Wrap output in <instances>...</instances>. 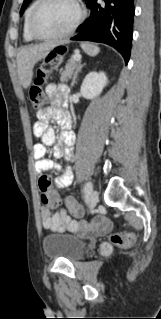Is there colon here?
Wrapping results in <instances>:
<instances>
[{"label": "colon", "mask_w": 161, "mask_h": 319, "mask_svg": "<svg viewBox=\"0 0 161 319\" xmlns=\"http://www.w3.org/2000/svg\"><path fill=\"white\" fill-rule=\"evenodd\" d=\"M65 47L59 46L53 49L42 60L37 74L29 86V99L33 108L39 109L44 104L43 86L47 81L48 74L53 71L62 61L65 54ZM53 180L49 176L40 178L41 184V202L46 207H57L61 205L59 196L52 194L48 189L52 185ZM73 213H82V209L71 210ZM136 241L134 234H113L109 242H104L101 246L102 253L110 254L113 246L119 248H127L132 246Z\"/></svg>", "instance_id": "1"}]
</instances>
